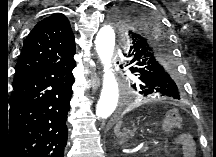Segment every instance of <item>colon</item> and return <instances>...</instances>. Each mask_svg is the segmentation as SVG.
<instances>
[{
  "instance_id": "colon-1",
  "label": "colon",
  "mask_w": 216,
  "mask_h": 157,
  "mask_svg": "<svg viewBox=\"0 0 216 157\" xmlns=\"http://www.w3.org/2000/svg\"><path fill=\"white\" fill-rule=\"evenodd\" d=\"M163 124H164V128L168 132H172L173 130H175L176 128H179L181 126L182 117L177 110L172 109L167 113Z\"/></svg>"
}]
</instances>
